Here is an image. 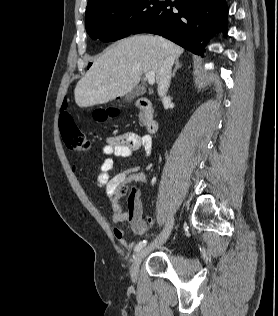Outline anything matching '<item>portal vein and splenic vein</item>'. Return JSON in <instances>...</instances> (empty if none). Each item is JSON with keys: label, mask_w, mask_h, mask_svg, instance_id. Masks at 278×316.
<instances>
[{"label": "portal vein and splenic vein", "mask_w": 278, "mask_h": 316, "mask_svg": "<svg viewBox=\"0 0 278 316\" xmlns=\"http://www.w3.org/2000/svg\"><path fill=\"white\" fill-rule=\"evenodd\" d=\"M146 79L148 80V83L150 85H153L155 82V72L154 71H148L145 73Z\"/></svg>", "instance_id": "18ae733b"}]
</instances>
